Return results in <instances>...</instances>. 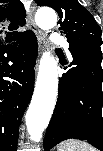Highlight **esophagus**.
<instances>
[{
	"label": "esophagus",
	"mask_w": 103,
	"mask_h": 151,
	"mask_svg": "<svg viewBox=\"0 0 103 151\" xmlns=\"http://www.w3.org/2000/svg\"><path fill=\"white\" fill-rule=\"evenodd\" d=\"M33 11H34V8L28 15V26L36 34L37 41H38V51L40 54L44 48V37L45 36H44L43 31L39 30L34 22Z\"/></svg>",
	"instance_id": "obj_1"
}]
</instances>
